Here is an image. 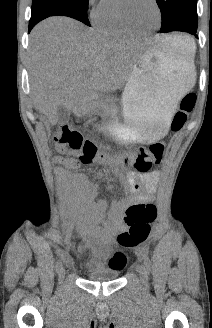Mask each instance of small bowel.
<instances>
[{
    "label": "small bowel",
    "instance_id": "c3829d8e",
    "mask_svg": "<svg viewBox=\"0 0 212 328\" xmlns=\"http://www.w3.org/2000/svg\"><path fill=\"white\" fill-rule=\"evenodd\" d=\"M55 161L66 168L78 167V162L74 158L58 156L55 157ZM59 175L69 187V199L85 210L82 225L87 238L99 242H106L114 233L126 228L128 224L126 218H123V214L130 206L149 201L151 199L149 193L160 179L157 170L130 171L126 174L122 170H112V173L95 171L93 178L96 181L118 179L121 182L123 196L108 202L106 199L98 197L100 186L84 174L69 175L64 170L59 169ZM106 187L113 190V185L110 182L106 184ZM109 266L114 270H121L124 267V265H112L111 260Z\"/></svg>",
    "mask_w": 212,
    "mask_h": 328
}]
</instances>
